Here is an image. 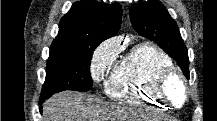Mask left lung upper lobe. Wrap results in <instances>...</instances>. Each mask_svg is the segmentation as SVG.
I'll list each match as a JSON object with an SVG mask.
<instances>
[{
  "mask_svg": "<svg viewBox=\"0 0 217 121\" xmlns=\"http://www.w3.org/2000/svg\"><path fill=\"white\" fill-rule=\"evenodd\" d=\"M130 19L139 35L155 41L170 57L177 61L189 79L188 50L175 20L158 0L133 4Z\"/></svg>",
  "mask_w": 217,
  "mask_h": 121,
  "instance_id": "obj_1",
  "label": "left lung upper lobe"
}]
</instances>
